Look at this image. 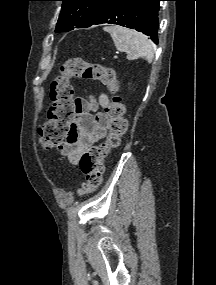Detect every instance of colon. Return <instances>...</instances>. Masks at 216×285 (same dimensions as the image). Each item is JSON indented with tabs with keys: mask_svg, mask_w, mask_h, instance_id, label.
Returning a JSON list of instances; mask_svg holds the SVG:
<instances>
[{
	"mask_svg": "<svg viewBox=\"0 0 216 285\" xmlns=\"http://www.w3.org/2000/svg\"><path fill=\"white\" fill-rule=\"evenodd\" d=\"M72 77L99 81L112 93L110 103L104 108L109 119L108 137L86 151L79 161L86 180L78 193L85 195L94 192L102 184L104 159L111 150L119 146L121 137L126 132L127 122L124 117V105L117 95L119 81L115 71L100 64L89 63L82 58H71L60 66L59 75L50 84L51 107L48 120L38 130L40 142L44 147L50 148L61 143L74 121L77 104L70 83Z\"/></svg>",
	"mask_w": 216,
	"mask_h": 285,
	"instance_id": "1",
	"label": "colon"
}]
</instances>
